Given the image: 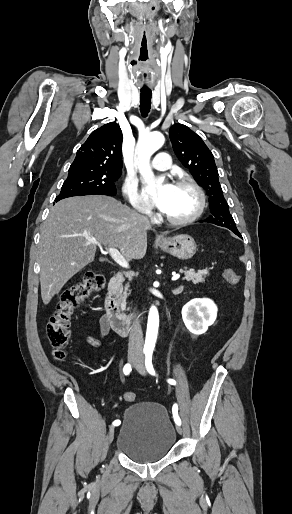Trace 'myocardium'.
Instances as JSON below:
<instances>
[{"mask_svg": "<svg viewBox=\"0 0 292 514\" xmlns=\"http://www.w3.org/2000/svg\"><path fill=\"white\" fill-rule=\"evenodd\" d=\"M175 186L190 188L195 193L196 198H197L196 207L191 214H189L188 216L183 217V218H173L164 212L162 213V216L170 224L184 225V224L194 221L196 218H198L201 215V213L203 212V209H204V205H205V196H204V193H203V190L201 189V187L192 179H189V178L180 179L176 182Z\"/></svg>", "mask_w": 292, "mask_h": 514, "instance_id": "1", "label": "myocardium"}]
</instances>
